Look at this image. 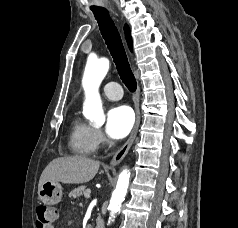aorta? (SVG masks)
<instances>
[{"label":"aorta","instance_id":"1","mask_svg":"<svg viewBox=\"0 0 238 228\" xmlns=\"http://www.w3.org/2000/svg\"><path fill=\"white\" fill-rule=\"evenodd\" d=\"M109 70V60L100 58L97 60H89L86 64L82 86L85 92V101L83 104V114L91 122L101 125L105 121L102 102L99 94V87ZM130 181V172L124 169L118 177L116 188L112 193L109 210L110 217L108 224L114 220L122 202L125 199Z\"/></svg>","mask_w":238,"mask_h":228}]
</instances>
